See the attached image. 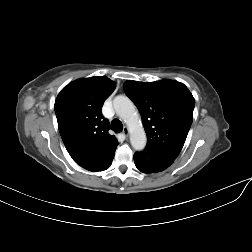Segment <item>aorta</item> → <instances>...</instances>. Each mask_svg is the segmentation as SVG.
<instances>
[{
  "mask_svg": "<svg viewBox=\"0 0 252 252\" xmlns=\"http://www.w3.org/2000/svg\"><path fill=\"white\" fill-rule=\"evenodd\" d=\"M114 109L128 125L130 142L135 150H142L146 146V134L139 121L133 102L127 96H117L113 101Z\"/></svg>",
  "mask_w": 252,
  "mask_h": 252,
  "instance_id": "obj_1",
  "label": "aorta"
}]
</instances>
